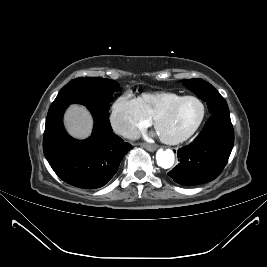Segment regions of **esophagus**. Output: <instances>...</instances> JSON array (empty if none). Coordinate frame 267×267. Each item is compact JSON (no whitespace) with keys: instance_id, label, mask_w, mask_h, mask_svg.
<instances>
[{"instance_id":"34e87169","label":"esophagus","mask_w":267,"mask_h":267,"mask_svg":"<svg viewBox=\"0 0 267 267\" xmlns=\"http://www.w3.org/2000/svg\"><path fill=\"white\" fill-rule=\"evenodd\" d=\"M141 146L147 149L148 151H155L158 148L157 145H152L147 143H142Z\"/></svg>"}]
</instances>
